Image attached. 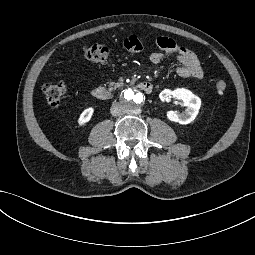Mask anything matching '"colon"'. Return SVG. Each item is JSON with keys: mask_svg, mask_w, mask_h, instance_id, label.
Masks as SVG:
<instances>
[{"mask_svg": "<svg viewBox=\"0 0 255 255\" xmlns=\"http://www.w3.org/2000/svg\"><path fill=\"white\" fill-rule=\"evenodd\" d=\"M123 48L129 54H137L146 50V46L136 36L127 37L123 42ZM84 54L87 59L97 63H107L113 56L112 51L101 44L85 47ZM215 89L218 93H223L226 90L225 81L218 80L215 83ZM42 91L47 103L50 106H57L66 92V85L63 82H48L43 85Z\"/></svg>", "mask_w": 255, "mask_h": 255, "instance_id": "1", "label": "colon"}]
</instances>
